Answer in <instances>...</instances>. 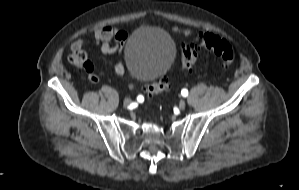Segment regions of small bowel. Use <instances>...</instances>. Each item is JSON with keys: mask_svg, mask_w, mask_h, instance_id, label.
<instances>
[{"mask_svg": "<svg viewBox=\"0 0 299 190\" xmlns=\"http://www.w3.org/2000/svg\"><path fill=\"white\" fill-rule=\"evenodd\" d=\"M175 30L187 37L193 35L192 30L186 28H175ZM128 38V31L124 29H117L112 26H103L97 29L92 37L84 38L73 44V48H81L82 46L90 43H94L99 46L102 53L111 55L115 52H122L124 44ZM114 71L118 75H124L126 73L125 66L122 62L116 61L114 63ZM89 78L93 82H97L99 77L94 72L89 74Z\"/></svg>", "mask_w": 299, "mask_h": 190, "instance_id": "c3829d8e", "label": "small bowel"}]
</instances>
